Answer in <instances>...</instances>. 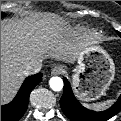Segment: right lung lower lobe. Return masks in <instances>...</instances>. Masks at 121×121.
I'll return each mask as SVG.
<instances>
[{
    "label": "right lung lower lobe",
    "instance_id": "98d812e1",
    "mask_svg": "<svg viewBox=\"0 0 121 121\" xmlns=\"http://www.w3.org/2000/svg\"><path fill=\"white\" fill-rule=\"evenodd\" d=\"M41 80L42 74L40 73L26 78L14 100L1 106V121H18L24 115L30 92Z\"/></svg>",
    "mask_w": 121,
    "mask_h": 121
}]
</instances>
